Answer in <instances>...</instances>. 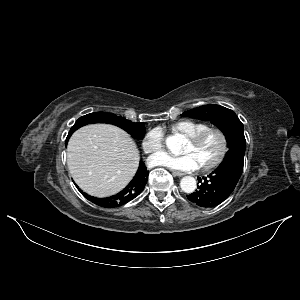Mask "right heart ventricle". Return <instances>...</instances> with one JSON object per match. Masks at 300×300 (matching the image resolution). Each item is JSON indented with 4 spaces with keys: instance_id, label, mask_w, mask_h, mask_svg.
Returning <instances> with one entry per match:
<instances>
[{
    "instance_id": "1",
    "label": "right heart ventricle",
    "mask_w": 300,
    "mask_h": 300,
    "mask_svg": "<svg viewBox=\"0 0 300 300\" xmlns=\"http://www.w3.org/2000/svg\"><path fill=\"white\" fill-rule=\"evenodd\" d=\"M207 126V123L192 119H181L171 125V129L185 137L191 136Z\"/></svg>"
}]
</instances>
